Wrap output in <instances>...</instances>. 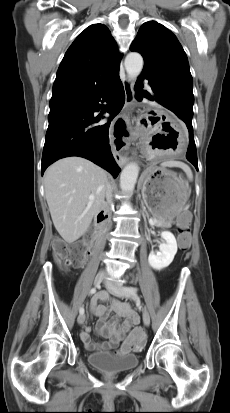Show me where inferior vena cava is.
<instances>
[{"instance_id": "inferior-vena-cava-1", "label": "inferior vena cava", "mask_w": 230, "mask_h": 413, "mask_svg": "<svg viewBox=\"0 0 230 413\" xmlns=\"http://www.w3.org/2000/svg\"><path fill=\"white\" fill-rule=\"evenodd\" d=\"M106 199H107V204L108 205H113V201H112V188L111 185L108 184L107 185V189H106Z\"/></svg>"}]
</instances>
